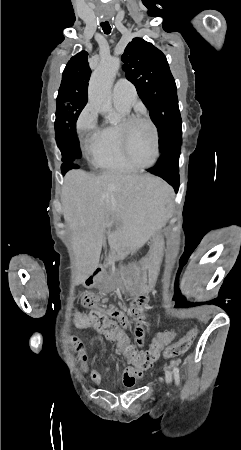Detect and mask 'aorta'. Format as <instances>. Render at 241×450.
<instances>
[{"instance_id": "aorta-1", "label": "aorta", "mask_w": 241, "mask_h": 450, "mask_svg": "<svg viewBox=\"0 0 241 450\" xmlns=\"http://www.w3.org/2000/svg\"><path fill=\"white\" fill-rule=\"evenodd\" d=\"M120 65L119 58H107L99 63L91 75L88 88L89 102L101 114L109 115L112 112L111 86Z\"/></svg>"}]
</instances>
